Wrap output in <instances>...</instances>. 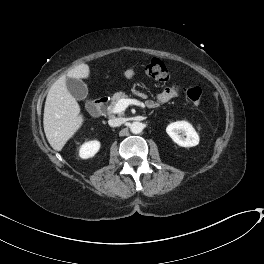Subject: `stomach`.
Instances as JSON below:
<instances>
[{
  "label": "stomach",
  "instance_id": "obj_1",
  "mask_svg": "<svg viewBox=\"0 0 264 264\" xmlns=\"http://www.w3.org/2000/svg\"><path fill=\"white\" fill-rule=\"evenodd\" d=\"M135 75V72L132 69H128L124 72V76L126 79H132Z\"/></svg>",
  "mask_w": 264,
  "mask_h": 264
}]
</instances>
